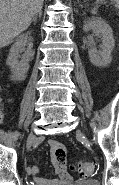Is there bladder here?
<instances>
[{
	"label": "bladder",
	"mask_w": 119,
	"mask_h": 185,
	"mask_svg": "<svg viewBox=\"0 0 119 185\" xmlns=\"http://www.w3.org/2000/svg\"><path fill=\"white\" fill-rule=\"evenodd\" d=\"M72 185H99V183L94 179H86V180L78 181Z\"/></svg>",
	"instance_id": "obj_1"
}]
</instances>
